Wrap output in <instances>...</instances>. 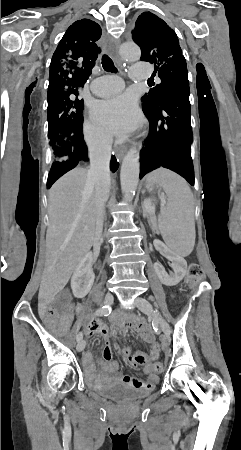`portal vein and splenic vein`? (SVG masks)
Here are the masks:
<instances>
[{
	"mask_svg": "<svg viewBox=\"0 0 241 450\" xmlns=\"http://www.w3.org/2000/svg\"><path fill=\"white\" fill-rule=\"evenodd\" d=\"M143 207H146V209H145V212L146 213H155L156 212V209H155V205L152 203V202H143ZM161 208L162 209H165L166 208V205L165 204H162L161 205Z\"/></svg>",
	"mask_w": 241,
	"mask_h": 450,
	"instance_id": "1",
	"label": "portal vein and splenic vein"
}]
</instances>
